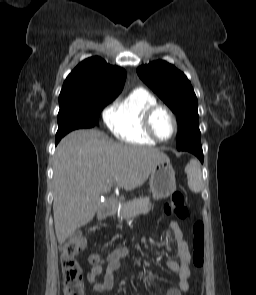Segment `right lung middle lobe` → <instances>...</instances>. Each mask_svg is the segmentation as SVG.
<instances>
[{"label":"right lung middle lobe","mask_w":256,"mask_h":295,"mask_svg":"<svg viewBox=\"0 0 256 295\" xmlns=\"http://www.w3.org/2000/svg\"><path fill=\"white\" fill-rule=\"evenodd\" d=\"M116 97H104L83 103L60 106L58 113V131L56 136H64L68 132L87 128V119L98 125L101 110Z\"/></svg>","instance_id":"dd1d6c3e"}]
</instances>
